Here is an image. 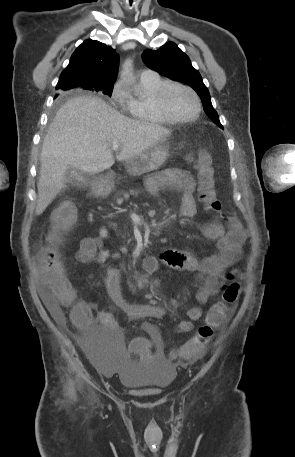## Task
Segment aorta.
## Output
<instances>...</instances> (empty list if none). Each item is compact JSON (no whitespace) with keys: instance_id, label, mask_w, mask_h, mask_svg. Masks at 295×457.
<instances>
[{"instance_id":"762f6f07","label":"aorta","mask_w":295,"mask_h":457,"mask_svg":"<svg viewBox=\"0 0 295 457\" xmlns=\"http://www.w3.org/2000/svg\"><path fill=\"white\" fill-rule=\"evenodd\" d=\"M132 60L127 59L124 64H123V70H122V76L124 77H129L131 74V68H132Z\"/></svg>"}]
</instances>
